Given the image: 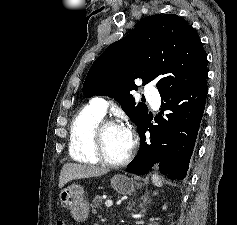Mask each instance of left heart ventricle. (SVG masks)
<instances>
[{
    "instance_id": "b2bd125f",
    "label": "left heart ventricle",
    "mask_w": 237,
    "mask_h": 225,
    "mask_svg": "<svg viewBox=\"0 0 237 225\" xmlns=\"http://www.w3.org/2000/svg\"><path fill=\"white\" fill-rule=\"evenodd\" d=\"M103 142L106 156L112 161L124 159L131 149L124 127H109L104 133Z\"/></svg>"
}]
</instances>
